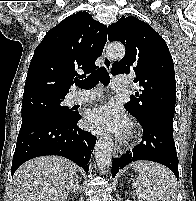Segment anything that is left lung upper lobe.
<instances>
[{
    "label": "left lung upper lobe",
    "mask_w": 196,
    "mask_h": 201,
    "mask_svg": "<svg viewBox=\"0 0 196 201\" xmlns=\"http://www.w3.org/2000/svg\"><path fill=\"white\" fill-rule=\"evenodd\" d=\"M109 41H120L126 53L112 65V75L134 71L140 89L125 109L140 122L152 116L174 117L176 82L172 56L163 38L147 23L122 16L108 27Z\"/></svg>",
    "instance_id": "obj_1"
}]
</instances>
